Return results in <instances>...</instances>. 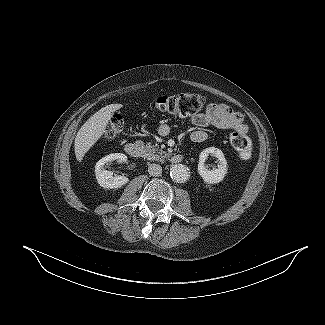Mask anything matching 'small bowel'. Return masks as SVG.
Here are the masks:
<instances>
[{
    "label": "small bowel",
    "instance_id": "c3829d8e",
    "mask_svg": "<svg viewBox=\"0 0 325 325\" xmlns=\"http://www.w3.org/2000/svg\"><path fill=\"white\" fill-rule=\"evenodd\" d=\"M190 121L197 127L190 135L194 143H201L207 139L204 128L209 126L232 129L245 136L248 133V127L244 123L243 115L226 104L210 103L203 113L193 116ZM169 132L170 128L166 124H162L158 128V133L161 136H167Z\"/></svg>",
    "mask_w": 325,
    "mask_h": 325
}]
</instances>
